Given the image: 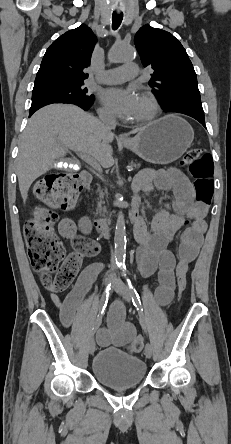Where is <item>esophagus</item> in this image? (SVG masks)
<instances>
[{
	"instance_id": "1",
	"label": "esophagus",
	"mask_w": 231,
	"mask_h": 444,
	"mask_svg": "<svg viewBox=\"0 0 231 444\" xmlns=\"http://www.w3.org/2000/svg\"><path fill=\"white\" fill-rule=\"evenodd\" d=\"M117 139H118V141H121V142H124L127 140V138L123 134L119 135Z\"/></svg>"
}]
</instances>
